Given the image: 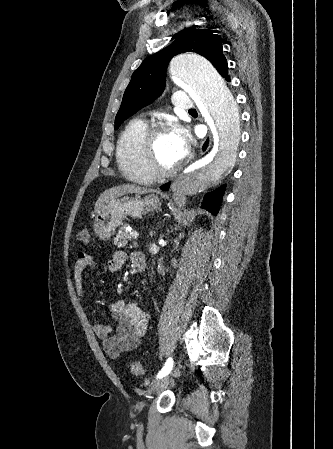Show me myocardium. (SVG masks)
<instances>
[{"label": "myocardium", "instance_id": "1", "mask_svg": "<svg viewBox=\"0 0 333 449\" xmlns=\"http://www.w3.org/2000/svg\"><path fill=\"white\" fill-rule=\"evenodd\" d=\"M169 128L164 123H155L148 127V130L142 140V157L146 170L154 179H163L174 175L182 166L183 161L171 168L162 167L157 160L155 144L157 138L168 132Z\"/></svg>", "mask_w": 333, "mask_h": 449}]
</instances>
